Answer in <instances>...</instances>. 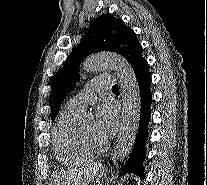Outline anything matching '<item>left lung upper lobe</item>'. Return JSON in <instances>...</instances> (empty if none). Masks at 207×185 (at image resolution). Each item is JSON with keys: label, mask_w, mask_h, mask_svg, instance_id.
<instances>
[{"label": "left lung upper lobe", "mask_w": 207, "mask_h": 185, "mask_svg": "<svg viewBox=\"0 0 207 185\" xmlns=\"http://www.w3.org/2000/svg\"><path fill=\"white\" fill-rule=\"evenodd\" d=\"M100 51L119 53L131 64L136 73L147 67L142 57V46L135 32L123 20L103 14L89 27L78 47L69 55L63 68L52 78L51 119L54 120L65 97L75 88L79 65L88 55Z\"/></svg>", "instance_id": "5c2ea615"}]
</instances>
